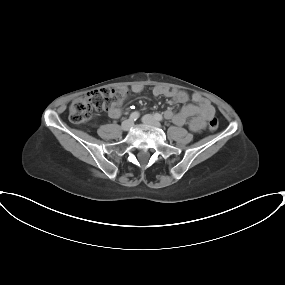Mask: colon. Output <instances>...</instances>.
<instances>
[{
	"label": "colon",
	"mask_w": 285,
	"mask_h": 285,
	"mask_svg": "<svg viewBox=\"0 0 285 285\" xmlns=\"http://www.w3.org/2000/svg\"><path fill=\"white\" fill-rule=\"evenodd\" d=\"M125 92L111 88H102L88 92L72 102L69 107V119L81 125L87 123L94 113L109 110L112 106L124 101ZM209 129L215 131L219 127L216 117L209 119Z\"/></svg>",
	"instance_id": "5ec220e1"
}]
</instances>
